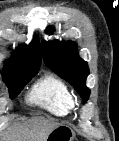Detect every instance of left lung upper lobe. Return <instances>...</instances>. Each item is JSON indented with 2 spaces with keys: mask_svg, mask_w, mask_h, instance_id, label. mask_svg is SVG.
Wrapping results in <instances>:
<instances>
[{
  "mask_svg": "<svg viewBox=\"0 0 119 141\" xmlns=\"http://www.w3.org/2000/svg\"><path fill=\"white\" fill-rule=\"evenodd\" d=\"M51 31L53 29L48 28L47 32ZM41 47L46 65L68 81L86 102L90 95V90L85 85L89 68L87 62L78 56L76 44L71 41L54 40L44 41Z\"/></svg>",
  "mask_w": 119,
  "mask_h": 141,
  "instance_id": "left-lung-upper-lobe-1",
  "label": "left lung upper lobe"
}]
</instances>
